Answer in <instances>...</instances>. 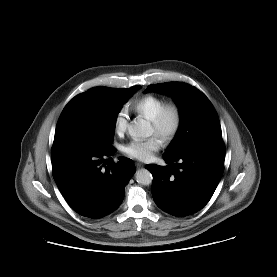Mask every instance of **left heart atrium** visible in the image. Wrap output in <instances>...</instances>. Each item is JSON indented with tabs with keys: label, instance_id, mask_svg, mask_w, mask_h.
<instances>
[{
	"label": "left heart atrium",
	"instance_id": "obj_1",
	"mask_svg": "<svg viewBox=\"0 0 277 277\" xmlns=\"http://www.w3.org/2000/svg\"><path fill=\"white\" fill-rule=\"evenodd\" d=\"M161 145V140L156 136H152L145 140L130 141L124 146L123 151L129 157L141 161H148L161 148Z\"/></svg>",
	"mask_w": 277,
	"mask_h": 277
}]
</instances>
